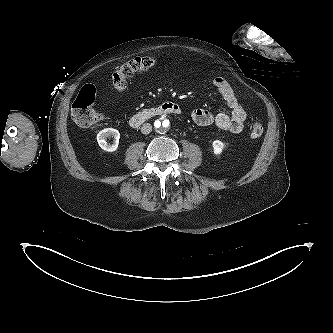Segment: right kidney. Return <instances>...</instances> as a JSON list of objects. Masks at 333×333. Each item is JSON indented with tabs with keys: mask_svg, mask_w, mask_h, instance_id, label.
Listing matches in <instances>:
<instances>
[{
	"mask_svg": "<svg viewBox=\"0 0 333 333\" xmlns=\"http://www.w3.org/2000/svg\"><path fill=\"white\" fill-rule=\"evenodd\" d=\"M114 137V144L109 145L106 142V137ZM120 133L118 130L113 128H105L97 134V141L99 146L108 152H113L117 150L119 144Z\"/></svg>",
	"mask_w": 333,
	"mask_h": 333,
	"instance_id": "right-kidney-1",
	"label": "right kidney"
}]
</instances>
